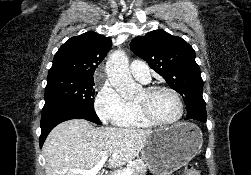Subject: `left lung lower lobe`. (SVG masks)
<instances>
[{
  "label": "left lung lower lobe",
  "instance_id": "obj_1",
  "mask_svg": "<svg viewBox=\"0 0 251 175\" xmlns=\"http://www.w3.org/2000/svg\"><path fill=\"white\" fill-rule=\"evenodd\" d=\"M186 106H187L186 119L206 122L207 114H206L205 104L190 103L186 104Z\"/></svg>",
  "mask_w": 251,
  "mask_h": 175
}]
</instances>
